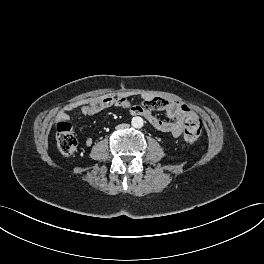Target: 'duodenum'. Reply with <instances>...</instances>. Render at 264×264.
Segmentation results:
<instances>
[{
    "instance_id": "duodenum-1",
    "label": "duodenum",
    "mask_w": 264,
    "mask_h": 264,
    "mask_svg": "<svg viewBox=\"0 0 264 264\" xmlns=\"http://www.w3.org/2000/svg\"><path fill=\"white\" fill-rule=\"evenodd\" d=\"M137 115H142V116H143V114H142V113H138Z\"/></svg>"
}]
</instances>
